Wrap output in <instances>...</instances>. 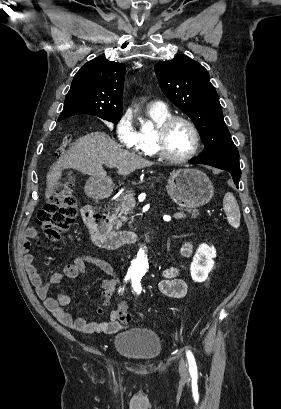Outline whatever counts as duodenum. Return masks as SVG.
I'll list each match as a JSON object with an SVG mask.
<instances>
[{"mask_svg": "<svg viewBox=\"0 0 281 409\" xmlns=\"http://www.w3.org/2000/svg\"><path fill=\"white\" fill-rule=\"evenodd\" d=\"M81 214L93 242L98 247L116 249L122 245L132 244L135 241V234L130 231H109L104 216L93 205H85Z\"/></svg>", "mask_w": 281, "mask_h": 409, "instance_id": "obj_1", "label": "duodenum"}]
</instances>
